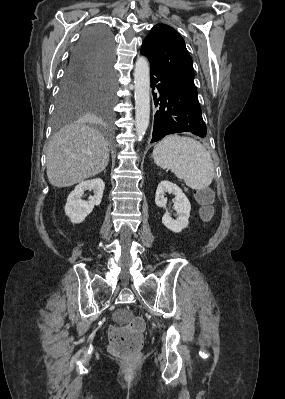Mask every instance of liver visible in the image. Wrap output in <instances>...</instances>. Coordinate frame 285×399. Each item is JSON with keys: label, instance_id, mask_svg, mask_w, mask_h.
<instances>
[{"label": "liver", "instance_id": "obj_1", "mask_svg": "<svg viewBox=\"0 0 285 399\" xmlns=\"http://www.w3.org/2000/svg\"><path fill=\"white\" fill-rule=\"evenodd\" d=\"M108 162L106 139L78 121L64 126L52 138L47 151V177L54 187H69L99 174Z\"/></svg>", "mask_w": 285, "mask_h": 399}]
</instances>
